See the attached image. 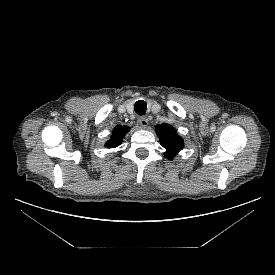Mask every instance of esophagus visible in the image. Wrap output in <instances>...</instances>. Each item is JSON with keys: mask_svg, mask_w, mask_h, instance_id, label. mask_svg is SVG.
I'll use <instances>...</instances> for the list:
<instances>
[{"mask_svg": "<svg viewBox=\"0 0 275 275\" xmlns=\"http://www.w3.org/2000/svg\"><path fill=\"white\" fill-rule=\"evenodd\" d=\"M138 122L140 123V125L144 128H146L149 125V122L147 120V118L145 116H141L138 118Z\"/></svg>", "mask_w": 275, "mask_h": 275, "instance_id": "obj_1", "label": "esophagus"}]
</instances>
